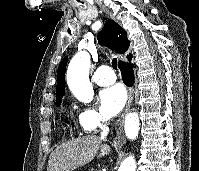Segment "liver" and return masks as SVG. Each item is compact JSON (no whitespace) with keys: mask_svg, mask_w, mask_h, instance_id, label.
Wrapping results in <instances>:
<instances>
[{"mask_svg":"<svg viewBox=\"0 0 199 171\" xmlns=\"http://www.w3.org/2000/svg\"><path fill=\"white\" fill-rule=\"evenodd\" d=\"M103 139L88 135L72 139L58 146L49 157L47 171H73L89 163L100 150L98 158L108 155L111 151Z\"/></svg>","mask_w":199,"mask_h":171,"instance_id":"obj_1","label":"liver"}]
</instances>
